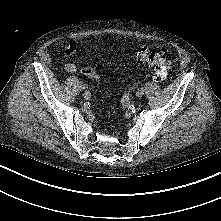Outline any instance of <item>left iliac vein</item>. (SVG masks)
<instances>
[{
    "instance_id": "4c4485c4",
    "label": "left iliac vein",
    "mask_w": 221,
    "mask_h": 221,
    "mask_svg": "<svg viewBox=\"0 0 221 221\" xmlns=\"http://www.w3.org/2000/svg\"><path fill=\"white\" fill-rule=\"evenodd\" d=\"M144 94V89L143 88H139L137 91H136V96L137 97H141L143 96Z\"/></svg>"
}]
</instances>
